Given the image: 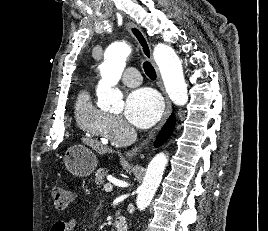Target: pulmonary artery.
<instances>
[{
  "label": "pulmonary artery",
  "mask_w": 268,
  "mask_h": 231,
  "mask_svg": "<svg viewBox=\"0 0 268 231\" xmlns=\"http://www.w3.org/2000/svg\"><path fill=\"white\" fill-rule=\"evenodd\" d=\"M122 81L128 86H136L141 82L140 73L134 66H129L123 76Z\"/></svg>",
  "instance_id": "obj_1"
}]
</instances>
